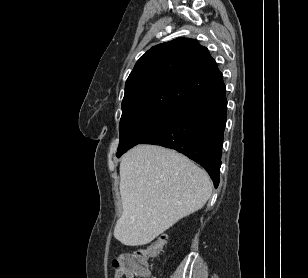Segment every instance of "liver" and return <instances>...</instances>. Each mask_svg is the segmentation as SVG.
<instances>
[{
    "mask_svg": "<svg viewBox=\"0 0 308 278\" xmlns=\"http://www.w3.org/2000/svg\"><path fill=\"white\" fill-rule=\"evenodd\" d=\"M119 189L123 212L114 237L137 246L201 209L212 183L205 170L175 150L139 144L121 159Z\"/></svg>",
    "mask_w": 308,
    "mask_h": 278,
    "instance_id": "6515ba94",
    "label": "liver"
}]
</instances>
